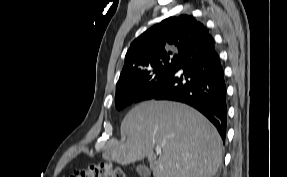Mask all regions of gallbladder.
I'll list each match as a JSON object with an SVG mask.
<instances>
[{
    "mask_svg": "<svg viewBox=\"0 0 287 177\" xmlns=\"http://www.w3.org/2000/svg\"><path fill=\"white\" fill-rule=\"evenodd\" d=\"M136 171L140 175H149L150 174L149 169L144 165L137 166Z\"/></svg>",
    "mask_w": 287,
    "mask_h": 177,
    "instance_id": "gallbladder-1",
    "label": "gallbladder"
}]
</instances>
